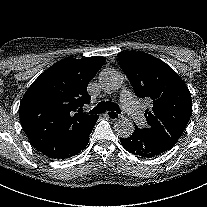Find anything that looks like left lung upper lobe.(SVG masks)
Wrapping results in <instances>:
<instances>
[{"instance_id": "obj_1", "label": "left lung upper lobe", "mask_w": 207, "mask_h": 207, "mask_svg": "<svg viewBox=\"0 0 207 207\" xmlns=\"http://www.w3.org/2000/svg\"><path fill=\"white\" fill-rule=\"evenodd\" d=\"M117 57L136 95L153 104L145 110L148 125L141 130L171 149L192 113L188 87L168 64L150 54L126 51Z\"/></svg>"}]
</instances>
